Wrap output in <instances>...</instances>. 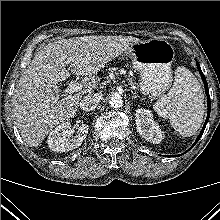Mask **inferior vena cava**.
<instances>
[{
	"label": "inferior vena cava",
	"instance_id": "inferior-vena-cava-1",
	"mask_svg": "<svg viewBox=\"0 0 220 220\" xmlns=\"http://www.w3.org/2000/svg\"><path fill=\"white\" fill-rule=\"evenodd\" d=\"M100 100L101 96L98 93L86 95L81 99L80 108L85 112L92 111L97 107Z\"/></svg>",
	"mask_w": 220,
	"mask_h": 220
}]
</instances>
